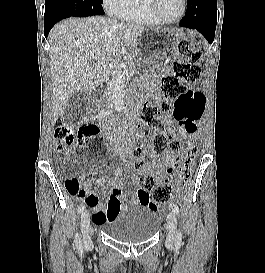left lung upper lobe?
<instances>
[{"label": "left lung upper lobe", "instance_id": "obj_1", "mask_svg": "<svg viewBox=\"0 0 265 273\" xmlns=\"http://www.w3.org/2000/svg\"><path fill=\"white\" fill-rule=\"evenodd\" d=\"M189 1V0H187ZM205 18L209 21H214L217 18V10H209L206 15Z\"/></svg>", "mask_w": 265, "mask_h": 273}]
</instances>
